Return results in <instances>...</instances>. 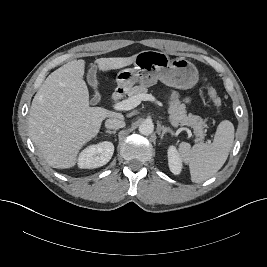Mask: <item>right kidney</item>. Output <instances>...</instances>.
<instances>
[{
    "mask_svg": "<svg viewBox=\"0 0 267 267\" xmlns=\"http://www.w3.org/2000/svg\"><path fill=\"white\" fill-rule=\"evenodd\" d=\"M114 152V145L110 141H103L90 145L84 149L78 158V166L82 169H93L107 164Z\"/></svg>",
    "mask_w": 267,
    "mask_h": 267,
    "instance_id": "obj_1",
    "label": "right kidney"
}]
</instances>
